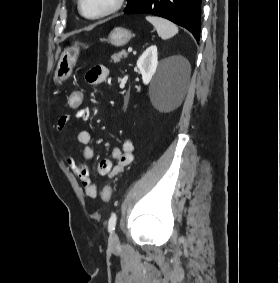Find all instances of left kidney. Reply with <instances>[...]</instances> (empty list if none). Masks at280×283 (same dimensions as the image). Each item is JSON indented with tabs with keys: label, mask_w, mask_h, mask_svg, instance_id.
Wrapping results in <instances>:
<instances>
[{
	"label": "left kidney",
	"mask_w": 280,
	"mask_h": 283,
	"mask_svg": "<svg viewBox=\"0 0 280 283\" xmlns=\"http://www.w3.org/2000/svg\"><path fill=\"white\" fill-rule=\"evenodd\" d=\"M180 65L186 64V60L181 57H175L173 59ZM158 65V52H157V46L151 45L149 46L139 57L137 61V67L139 69V72L142 75V81L145 85L149 84L153 75L156 72Z\"/></svg>",
	"instance_id": "5707ae66"
}]
</instances>
